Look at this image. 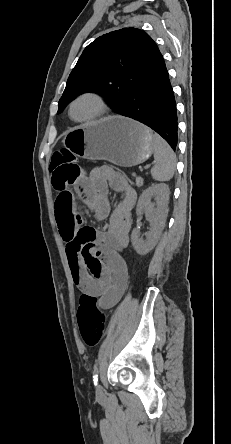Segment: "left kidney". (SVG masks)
<instances>
[{
    "label": "left kidney",
    "mask_w": 231,
    "mask_h": 444,
    "mask_svg": "<svg viewBox=\"0 0 231 444\" xmlns=\"http://www.w3.org/2000/svg\"><path fill=\"white\" fill-rule=\"evenodd\" d=\"M169 194V186L160 183L151 185L143 191L139 197L136 211L138 214L145 211L151 226L146 240L139 237L140 231L138 228L132 231V245L140 255L149 253L156 246L160 238L168 214ZM152 198H155L156 204L151 203Z\"/></svg>",
    "instance_id": "obj_1"
}]
</instances>
